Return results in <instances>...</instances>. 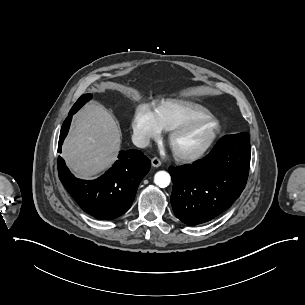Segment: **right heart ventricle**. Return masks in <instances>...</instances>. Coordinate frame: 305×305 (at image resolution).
Masks as SVG:
<instances>
[{
    "mask_svg": "<svg viewBox=\"0 0 305 305\" xmlns=\"http://www.w3.org/2000/svg\"><path fill=\"white\" fill-rule=\"evenodd\" d=\"M210 113L209 109L199 103L180 99L165 100L155 110L158 125L165 132H173L184 122Z\"/></svg>",
    "mask_w": 305,
    "mask_h": 305,
    "instance_id": "obj_1",
    "label": "right heart ventricle"
}]
</instances>
